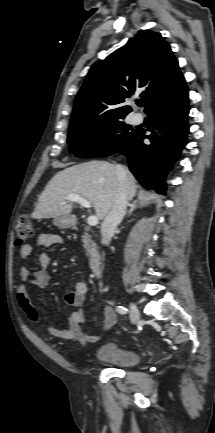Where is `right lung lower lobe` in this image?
Segmentation results:
<instances>
[{
    "instance_id": "98d812e1",
    "label": "right lung lower lobe",
    "mask_w": 215,
    "mask_h": 433,
    "mask_svg": "<svg viewBox=\"0 0 215 433\" xmlns=\"http://www.w3.org/2000/svg\"><path fill=\"white\" fill-rule=\"evenodd\" d=\"M145 112L150 117L148 130L152 133L145 135L144 130H135L128 142L114 154L126 155L130 171L143 187L165 194L164 176L179 159L189 133L185 82L152 102ZM145 138L151 144H144Z\"/></svg>"
}]
</instances>
